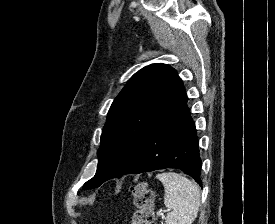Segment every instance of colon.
I'll list each match as a JSON object with an SVG mask.
<instances>
[{"instance_id":"obj_1","label":"colon","mask_w":275,"mask_h":224,"mask_svg":"<svg viewBox=\"0 0 275 224\" xmlns=\"http://www.w3.org/2000/svg\"><path fill=\"white\" fill-rule=\"evenodd\" d=\"M135 211L131 224H151L154 219V193L146 183H139L132 188Z\"/></svg>"}]
</instances>
